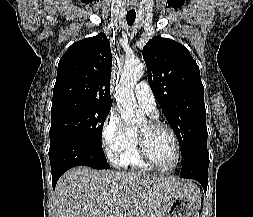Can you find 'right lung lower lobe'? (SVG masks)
<instances>
[{
	"label": "right lung lower lobe",
	"instance_id": "right-lung-lower-lobe-1",
	"mask_svg": "<svg viewBox=\"0 0 253 217\" xmlns=\"http://www.w3.org/2000/svg\"><path fill=\"white\" fill-rule=\"evenodd\" d=\"M49 158L53 188L59 177L74 166L84 165L96 169L110 167L103 155L78 139H65L50 145Z\"/></svg>",
	"mask_w": 253,
	"mask_h": 217
}]
</instances>
